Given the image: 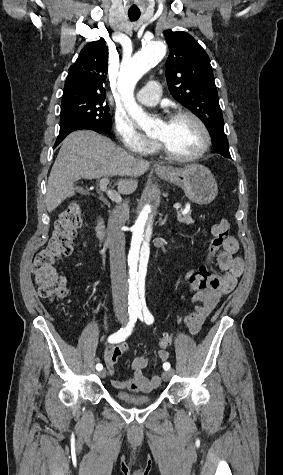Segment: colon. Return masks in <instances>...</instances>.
<instances>
[{"label": "colon", "instance_id": "obj_1", "mask_svg": "<svg viewBox=\"0 0 283 475\" xmlns=\"http://www.w3.org/2000/svg\"><path fill=\"white\" fill-rule=\"evenodd\" d=\"M82 223V213L79 204L71 203L60 214L55 224L53 235L49 244L37 252L34 257L33 278L38 288L39 295L48 303L64 298L68 287L63 276L54 270V264L60 258L70 255L72 239ZM228 237V220L220 217L212 226V240L209 253L203 264L195 271L191 278V291L194 294L204 290L213 279L212 258L223 246ZM172 341V331L165 332L159 339L157 361L165 363L169 356L166 349Z\"/></svg>", "mask_w": 283, "mask_h": 475}]
</instances>
